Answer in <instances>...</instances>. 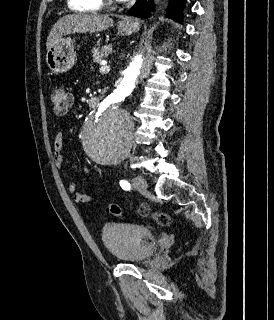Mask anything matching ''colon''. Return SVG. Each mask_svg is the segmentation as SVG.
<instances>
[{
  "label": "colon",
  "mask_w": 274,
  "mask_h": 320,
  "mask_svg": "<svg viewBox=\"0 0 274 320\" xmlns=\"http://www.w3.org/2000/svg\"><path fill=\"white\" fill-rule=\"evenodd\" d=\"M49 100L51 102L53 113L56 116H63L67 113L68 108L72 104L70 93L63 87H54L50 91ZM107 211L112 213L115 217L119 218L123 215V209L115 204H108ZM139 212L143 215L149 213V209L146 206L140 208ZM154 220L159 224H168L170 217L167 214L155 213L153 215Z\"/></svg>",
  "instance_id": "obj_1"
}]
</instances>
